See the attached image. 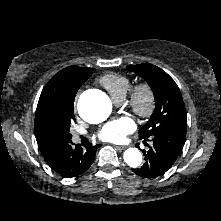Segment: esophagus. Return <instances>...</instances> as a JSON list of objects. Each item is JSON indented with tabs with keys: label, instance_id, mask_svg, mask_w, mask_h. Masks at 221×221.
<instances>
[{
	"label": "esophagus",
	"instance_id": "obj_1",
	"mask_svg": "<svg viewBox=\"0 0 221 221\" xmlns=\"http://www.w3.org/2000/svg\"><path fill=\"white\" fill-rule=\"evenodd\" d=\"M114 147H116L117 149H120V150H124L125 149L124 146H114Z\"/></svg>",
	"mask_w": 221,
	"mask_h": 221
}]
</instances>
